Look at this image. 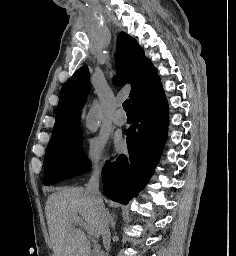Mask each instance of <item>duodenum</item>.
Here are the masks:
<instances>
[{"label":"duodenum","instance_id":"410a0bca","mask_svg":"<svg viewBox=\"0 0 236 256\" xmlns=\"http://www.w3.org/2000/svg\"><path fill=\"white\" fill-rule=\"evenodd\" d=\"M89 256H92V253H89Z\"/></svg>","mask_w":236,"mask_h":256}]
</instances>
